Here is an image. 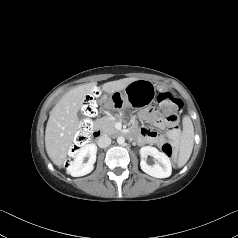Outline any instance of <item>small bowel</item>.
<instances>
[{
  "instance_id": "obj_1",
  "label": "small bowel",
  "mask_w": 238,
  "mask_h": 238,
  "mask_svg": "<svg viewBox=\"0 0 238 238\" xmlns=\"http://www.w3.org/2000/svg\"><path fill=\"white\" fill-rule=\"evenodd\" d=\"M141 117L151 122L154 127L163 129L167 127L166 135H160L148 129H141L138 133V141L142 144H152L162 147L165 143H171L177 146L180 143L181 134L176 123H166V119L158 114L151 115L149 112H143Z\"/></svg>"
}]
</instances>
